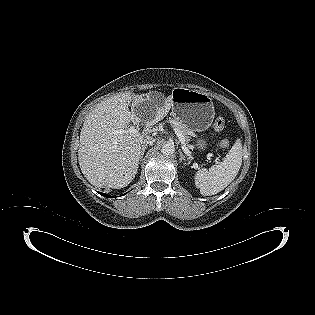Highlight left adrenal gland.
Here are the masks:
<instances>
[{"label":"left adrenal gland","instance_id":"1","mask_svg":"<svg viewBox=\"0 0 315 315\" xmlns=\"http://www.w3.org/2000/svg\"><path fill=\"white\" fill-rule=\"evenodd\" d=\"M179 162L181 163L182 161H186L185 156L183 155V153L181 152V150L179 149ZM187 163L185 162L184 165H186Z\"/></svg>","mask_w":315,"mask_h":315}]
</instances>
